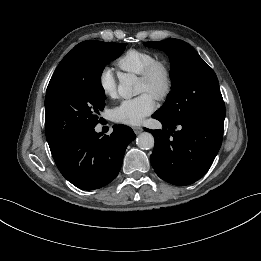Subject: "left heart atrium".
<instances>
[{
  "label": "left heart atrium",
  "instance_id": "left-heart-atrium-1",
  "mask_svg": "<svg viewBox=\"0 0 261 261\" xmlns=\"http://www.w3.org/2000/svg\"><path fill=\"white\" fill-rule=\"evenodd\" d=\"M156 109L154 97L149 93L126 99L111 111L112 119L121 124L139 125Z\"/></svg>",
  "mask_w": 261,
  "mask_h": 261
}]
</instances>
